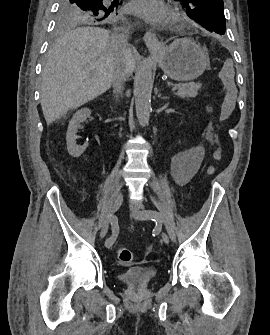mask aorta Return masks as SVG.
<instances>
[{
    "label": "aorta",
    "mask_w": 270,
    "mask_h": 335,
    "mask_svg": "<svg viewBox=\"0 0 270 335\" xmlns=\"http://www.w3.org/2000/svg\"><path fill=\"white\" fill-rule=\"evenodd\" d=\"M152 88V66L150 58H147L136 74L134 86L136 114L142 126H146L149 122Z\"/></svg>",
    "instance_id": "obj_1"
}]
</instances>
